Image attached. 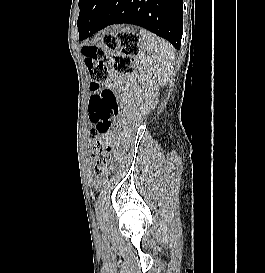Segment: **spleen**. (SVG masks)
<instances>
[{
    "mask_svg": "<svg viewBox=\"0 0 265 273\" xmlns=\"http://www.w3.org/2000/svg\"><path fill=\"white\" fill-rule=\"evenodd\" d=\"M143 48L147 51V61L151 66L155 81L165 85L169 79L174 60V50L165 40L155 36L147 30L140 31Z\"/></svg>",
    "mask_w": 265,
    "mask_h": 273,
    "instance_id": "3e777b00",
    "label": "spleen"
}]
</instances>
